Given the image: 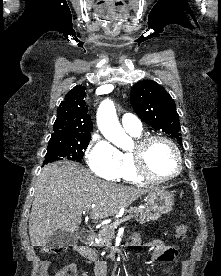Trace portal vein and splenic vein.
<instances>
[{"label": "portal vein and splenic vein", "mask_w": 221, "mask_h": 276, "mask_svg": "<svg viewBox=\"0 0 221 276\" xmlns=\"http://www.w3.org/2000/svg\"><path fill=\"white\" fill-rule=\"evenodd\" d=\"M94 206V204L92 205V207ZM85 211H88V210H85ZM84 211V212H85ZM133 217V215H127V216H125V217H123V218H121L120 220H117L115 223L116 224H119V223H122V222H126V221H128L129 219H131Z\"/></svg>", "instance_id": "portal-vein-and-splenic-vein-1"}]
</instances>
